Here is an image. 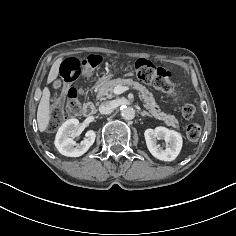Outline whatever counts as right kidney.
Here are the masks:
<instances>
[{
  "mask_svg": "<svg viewBox=\"0 0 236 236\" xmlns=\"http://www.w3.org/2000/svg\"><path fill=\"white\" fill-rule=\"evenodd\" d=\"M78 126V119H69L58 129L54 143L62 155L79 157L86 153L93 145L96 138V133L93 130L87 131L85 138L79 144L75 143L73 137L76 135Z\"/></svg>",
  "mask_w": 236,
  "mask_h": 236,
  "instance_id": "right-kidney-1",
  "label": "right kidney"
}]
</instances>
